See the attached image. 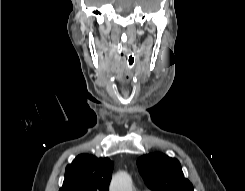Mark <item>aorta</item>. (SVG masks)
Here are the masks:
<instances>
[{"mask_svg": "<svg viewBox=\"0 0 245 191\" xmlns=\"http://www.w3.org/2000/svg\"><path fill=\"white\" fill-rule=\"evenodd\" d=\"M109 191H133L131 177L124 171L116 173L112 178Z\"/></svg>", "mask_w": 245, "mask_h": 191, "instance_id": "aorta-1", "label": "aorta"}]
</instances>
